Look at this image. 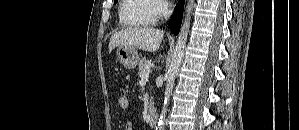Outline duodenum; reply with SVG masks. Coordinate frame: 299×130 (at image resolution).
Here are the masks:
<instances>
[{
  "label": "duodenum",
  "instance_id": "obj_1",
  "mask_svg": "<svg viewBox=\"0 0 299 130\" xmlns=\"http://www.w3.org/2000/svg\"><path fill=\"white\" fill-rule=\"evenodd\" d=\"M157 122H158L157 114L154 111H151L148 116V124L151 127H155L157 125Z\"/></svg>",
  "mask_w": 299,
  "mask_h": 130
}]
</instances>
